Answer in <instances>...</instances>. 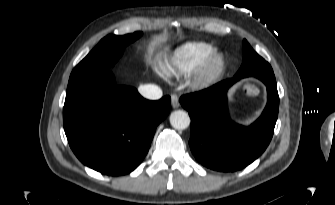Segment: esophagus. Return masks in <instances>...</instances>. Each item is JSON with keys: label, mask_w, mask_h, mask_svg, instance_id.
<instances>
[{"label": "esophagus", "mask_w": 335, "mask_h": 205, "mask_svg": "<svg viewBox=\"0 0 335 205\" xmlns=\"http://www.w3.org/2000/svg\"><path fill=\"white\" fill-rule=\"evenodd\" d=\"M171 104L173 108H178L180 106L179 99L176 95L171 96Z\"/></svg>", "instance_id": "obj_1"}]
</instances>
